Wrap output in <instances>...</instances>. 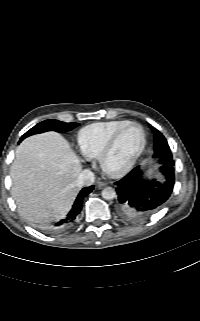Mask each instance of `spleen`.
Segmentation results:
<instances>
[{
    "label": "spleen",
    "instance_id": "1",
    "mask_svg": "<svg viewBox=\"0 0 200 321\" xmlns=\"http://www.w3.org/2000/svg\"><path fill=\"white\" fill-rule=\"evenodd\" d=\"M152 174H153V170L152 169L148 170L147 175H152Z\"/></svg>",
    "mask_w": 200,
    "mask_h": 321
}]
</instances>
